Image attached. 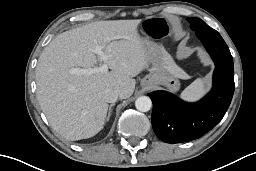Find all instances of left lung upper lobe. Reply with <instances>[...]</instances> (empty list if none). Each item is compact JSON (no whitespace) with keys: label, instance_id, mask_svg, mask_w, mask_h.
Returning <instances> with one entry per match:
<instances>
[{"label":"left lung upper lobe","instance_id":"5c2ea615","mask_svg":"<svg viewBox=\"0 0 256 171\" xmlns=\"http://www.w3.org/2000/svg\"><path fill=\"white\" fill-rule=\"evenodd\" d=\"M187 20L191 24V28L193 30H207L212 33H218L216 30L209 27L203 20L196 18V17H189Z\"/></svg>","mask_w":256,"mask_h":171}]
</instances>
